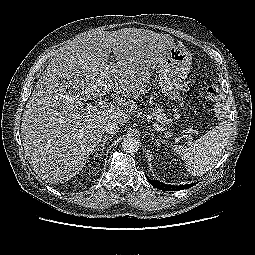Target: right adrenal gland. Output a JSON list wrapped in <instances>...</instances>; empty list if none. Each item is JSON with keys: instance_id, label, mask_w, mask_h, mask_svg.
<instances>
[{"instance_id": "obj_1", "label": "right adrenal gland", "mask_w": 255, "mask_h": 255, "mask_svg": "<svg viewBox=\"0 0 255 255\" xmlns=\"http://www.w3.org/2000/svg\"><path fill=\"white\" fill-rule=\"evenodd\" d=\"M112 137L111 136H104V138H103V140H102V142H101V144L99 145V146H97L96 147V150H98L99 149V147H101V149H100V151H101V153L103 152V150L105 149V144H106V142L108 141V140H110Z\"/></svg>"}]
</instances>
